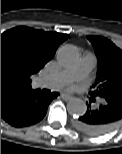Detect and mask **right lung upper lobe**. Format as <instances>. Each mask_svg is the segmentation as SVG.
<instances>
[{
    "label": "right lung upper lobe",
    "instance_id": "1",
    "mask_svg": "<svg viewBox=\"0 0 122 154\" xmlns=\"http://www.w3.org/2000/svg\"><path fill=\"white\" fill-rule=\"evenodd\" d=\"M68 37L29 27H15L1 34V108L15 97L33 91V75Z\"/></svg>",
    "mask_w": 122,
    "mask_h": 154
}]
</instances>
